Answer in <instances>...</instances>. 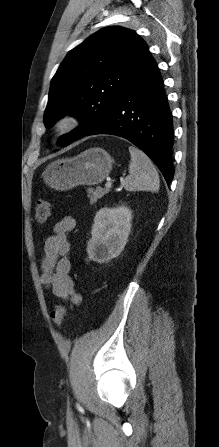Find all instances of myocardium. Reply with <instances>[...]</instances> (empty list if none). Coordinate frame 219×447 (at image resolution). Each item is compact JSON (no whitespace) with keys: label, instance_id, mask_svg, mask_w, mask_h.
Here are the masks:
<instances>
[{"label":"myocardium","instance_id":"myocardium-1","mask_svg":"<svg viewBox=\"0 0 219 447\" xmlns=\"http://www.w3.org/2000/svg\"><path fill=\"white\" fill-rule=\"evenodd\" d=\"M79 126V118L75 115L68 114L59 118L54 126V130L59 135L71 133Z\"/></svg>","mask_w":219,"mask_h":447}]
</instances>
